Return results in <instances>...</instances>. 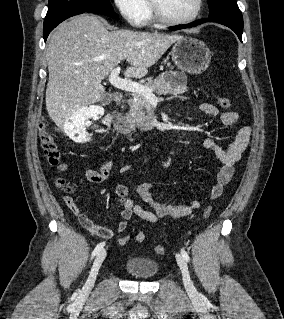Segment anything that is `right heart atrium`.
Here are the masks:
<instances>
[{
	"label": "right heart atrium",
	"mask_w": 284,
	"mask_h": 319,
	"mask_svg": "<svg viewBox=\"0 0 284 319\" xmlns=\"http://www.w3.org/2000/svg\"><path fill=\"white\" fill-rule=\"evenodd\" d=\"M113 2L119 14L131 26L139 27L144 24L149 11L147 0H113Z\"/></svg>",
	"instance_id": "obj_1"
}]
</instances>
